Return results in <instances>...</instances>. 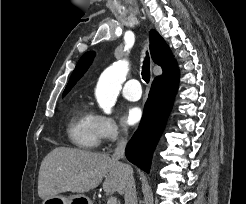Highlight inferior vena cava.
Wrapping results in <instances>:
<instances>
[{
    "label": "inferior vena cava",
    "instance_id": "602c4592",
    "mask_svg": "<svg viewBox=\"0 0 246 204\" xmlns=\"http://www.w3.org/2000/svg\"><path fill=\"white\" fill-rule=\"evenodd\" d=\"M126 142L127 140L124 137H121L118 140L117 147L115 148L114 154L112 156L113 159L120 160L124 158ZM123 166L127 173L126 187L124 193L125 204H137V193L132 168L127 164H123Z\"/></svg>",
    "mask_w": 246,
    "mask_h": 204
}]
</instances>
